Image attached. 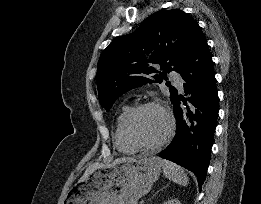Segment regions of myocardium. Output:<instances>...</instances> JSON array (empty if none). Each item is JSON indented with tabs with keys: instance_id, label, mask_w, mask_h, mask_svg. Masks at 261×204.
Returning a JSON list of instances; mask_svg holds the SVG:
<instances>
[{
	"instance_id": "f54148a6",
	"label": "myocardium",
	"mask_w": 261,
	"mask_h": 204,
	"mask_svg": "<svg viewBox=\"0 0 261 204\" xmlns=\"http://www.w3.org/2000/svg\"><path fill=\"white\" fill-rule=\"evenodd\" d=\"M147 108H156L158 109L165 117L166 119V131L164 135L156 142L151 144H141L134 140L129 132V124L132 120V118L140 111L147 109ZM121 131L124 140L134 149L141 150V151H149L157 149L161 146H163L172 136L174 131V119L170 112V110L163 105L162 103L158 101H145L142 103H139L133 107L130 108V110L126 113L122 125H121Z\"/></svg>"
}]
</instances>
